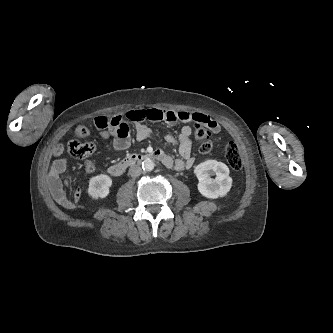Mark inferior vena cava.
Masks as SVG:
<instances>
[{
  "label": "inferior vena cava",
  "mask_w": 333,
  "mask_h": 333,
  "mask_svg": "<svg viewBox=\"0 0 333 333\" xmlns=\"http://www.w3.org/2000/svg\"><path fill=\"white\" fill-rule=\"evenodd\" d=\"M142 173V169L140 166L138 165H133L129 168V174L132 176V177H138L140 176Z\"/></svg>",
  "instance_id": "1"
}]
</instances>
